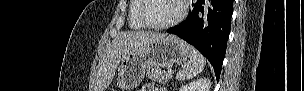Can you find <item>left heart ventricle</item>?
<instances>
[{
	"label": "left heart ventricle",
	"mask_w": 304,
	"mask_h": 91,
	"mask_svg": "<svg viewBox=\"0 0 304 91\" xmlns=\"http://www.w3.org/2000/svg\"><path fill=\"white\" fill-rule=\"evenodd\" d=\"M179 13L177 0H147L144 16L152 24L169 22Z\"/></svg>",
	"instance_id": "b2bd125f"
}]
</instances>
